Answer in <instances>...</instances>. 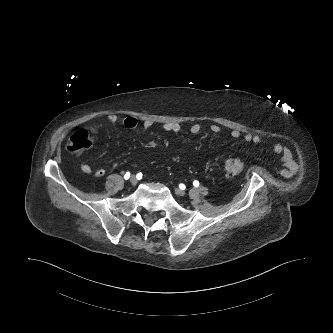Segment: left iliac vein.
I'll return each mask as SVG.
<instances>
[{"instance_id": "4c4485c4", "label": "left iliac vein", "mask_w": 333, "mask_h": 333, "mask_svg": "<svg viewBox=\"0 0 333 333\" xmlns=\"http://www.w3.org/2000/svg\"><path fill=\"white\" fill-rule=\"evenodd\" d=\"M175 193L179 196H184L185 195V191L182 189H175Z\"/></svg>"}]
</instances>
